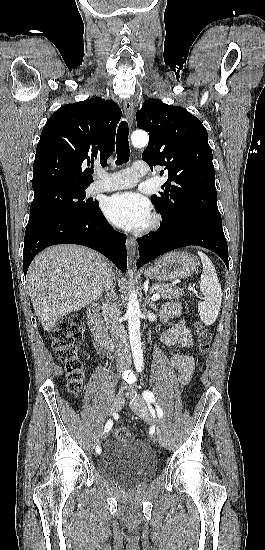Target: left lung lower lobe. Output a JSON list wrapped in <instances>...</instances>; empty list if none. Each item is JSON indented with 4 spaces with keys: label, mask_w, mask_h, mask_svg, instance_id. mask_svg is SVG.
<instances>
[{
    "label": "left lung lower lobe",
    "mask_w": 265,
    "mask_h": 550,
    "mask_svg": "<svg viewBox=\"0 0 265 550\" xmlns=\"http://www.w3.org/2000/svg\"><path fill=\"white\" fill-rule=\"evenodd\" d=\"M137 241L140 253L138 268L167 251L188 245H197L214 251L229 268L228 246L222 223L201 216L186 215L170 222H163L158 231Z\"/></svg>",
    "instance_id": "left-lung-lower-lobe-1"
}]
</instances>
